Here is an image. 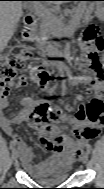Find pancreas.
<instances>
[{"mask_svg":"<svg viewBox=\"0 0 104 189\" xmlns=\"http://www.w3.org/2000/svg\"><path fill=\"white\" fill-rule=\"evenodd\" d=\"M71 14V22L79 23L82 19L83 22L89 21L92 19L91 11L88 10V7H78L74 11H69L64 16L60 18L54 17L52 19H43L40 25V31L38 34L33 36V39L39 43L40 46H44L47 43V40L53 37H63L66 35L67 24L66 15ZM48 49V48H47Z\"/></svg>","mask_w":104,"mask_h":189,"instance_id":"pancreas-1","label":"pancreas"}]
</instances>
